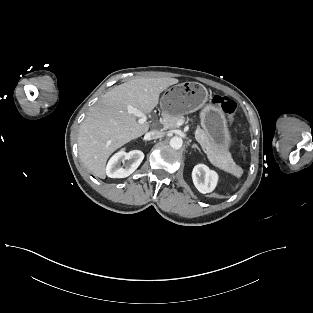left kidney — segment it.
I'll return each instance as SVG.
<instances>
[{"label":"left kidney","mask_w":313,"mask_h":313,"mask_svg":"<svg viewBox=\"0 0 313 313\" xmlns=\"http://www.w3.org/2000/svg\"><path fill=\"white\" fill-rule=\"evenodd\" d=\"M192 180L199 192L210 193L217 185L218 174L206 165L198 164L193 168Z\"/></svg>","instance_id":"5707ae66"}]
</instances>
